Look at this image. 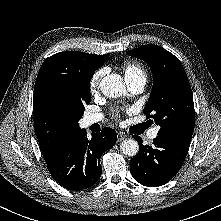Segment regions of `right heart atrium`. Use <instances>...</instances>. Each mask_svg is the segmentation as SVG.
<instances>
[{
	"label": "right heart atrium",
	"instance_id": "1",
	"mask_svg": "<svg viewBox=\"0 0 221 221\" xmlns=\"http://www.w3.org/2000/svg\"><path fill=\"white\" fill-rule=\"evenodd\" d=\"M106 70L104 68H100L96 70L91 78L89 89L91 93H94L99 85L101 78L105 75Z\"/></svg>",
	"mask_w": 221,
	"mask_h": 221
}]
</instances>
